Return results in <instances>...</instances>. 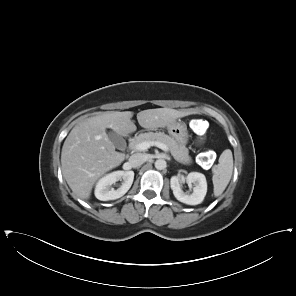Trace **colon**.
Returning a JSON list of instances; mask_svg holds the SVG:
<instances>
[{"instance_id":"5ec220e1","label":"colon","mask_w":296,"mask_h":296,"mask_svg":"<svg viewBox=\"0 0 296 296\" xmlns=\"http://www.w3.org/2000/svg\"><path fill=\"white\" fill-rule=\"evenodd\" d=\"M190 128L195 133V135L197 136L200 142H203L205 140L207 125L203 120H200V119L191 120ZM210 159H211V156L209 152L203 153L199 157L200 162L203 164L209 163Z\"/></svg>"}]
</instances>
